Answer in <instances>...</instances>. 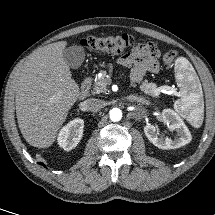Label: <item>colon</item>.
Instances as JSON below:
<instances>
[{"label": "colon", "mask_w": 215, "mask_h": 215, "mask_svg": "<svg viewBox=\"0 0 215 215\" xmlns=\"http://www.w3.org/2000/svg\"><path fill=\"white\" fill-rule=\"evenodd\" d=\"M81 44L91 50L100 51L108 54H121L130 47L138 45L136 39L127 34L116 36H103V37H87L81 41ZM176 57L175 51H168L163 55L165 64H171Z\"/></svg>", "instance_id": "5ec220e1"}]
</instances>
